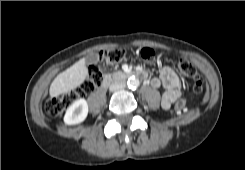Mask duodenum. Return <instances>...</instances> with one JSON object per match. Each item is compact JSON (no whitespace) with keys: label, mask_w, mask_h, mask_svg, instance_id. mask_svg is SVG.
Returning a JSON list of instances; mask_svg holds the SVG:
<instances>
[{"label":"duodenum","mask_w":245,"mask_h":170,"mask_svg":"<svg viewBox=\"0 0 245 170\" xmlns=\"http://www.w3.org/2000/svg\"><path fill=\"white\" fill-rule=\"evenodd\" d=\"M130 75L136 76V77H144V72L142 71H134L131 72L129 74L127 73H111L108 74L104 77V79L102 80V84L101 87L105 88L107 87L112 81H116V80H121V79H125L127 77H129Z\"/></svg>","instance_id":"410a0bca"}]
</instances>
